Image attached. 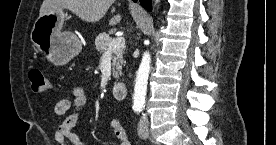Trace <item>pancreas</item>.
I'll use <instances>...</instances> for the list:
<instances>
[{"label": "pancreas", "mask_w": 276, "mask_h": 145, "mask_svg": "<svg viewBox=\"0 0 276 145\" xmlns=\"http://www.w3.org/2000/svg\"><path fill=\"white\" fill-rule=\"evenodd\" d=\"M113 39L107 33H101L95 38V47L98 52L104 53L107 51L110 42ZM112 56V67H113V77L118 79L122 74V66L124 64L123 60V47L113 50Z\"/></svg>", "instance_id": "obj_1"}]
</instances>
